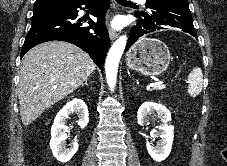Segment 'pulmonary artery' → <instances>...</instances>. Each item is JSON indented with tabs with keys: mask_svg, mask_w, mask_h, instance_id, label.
<instances>
[{
	"mask_svg": "<svg viewBox=\"0 0 227 166\" xmlns=\"http://www.w3.org/2000/svg\"><path fill=\"white\" fill-rule=\"evenodd\" d=\"M134 1H138V2H140L142 4H144L146 2V0H134Z\"/></svg>",
	"mask_w": 227,
	"mask_h": 166,
	"instance_id": "pulmonary-artery-1",
	"label": "pulmonary artery"
}]
</instances>
